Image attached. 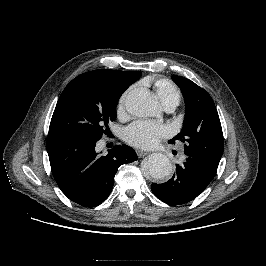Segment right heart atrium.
<instances>
[{
	"label": "right heart atrium",
	"mask_w": 266,
	"mask_h": 266,
	"mask_svg": "<svg viewBox=\"0 0 266 266\" xmlns=\"http://www.w3.org/2000/svg\"><path fill=\"white\" fill-rule=\"evenodd\" d=\"M127 97H128V91L124 92L119 98L118 104H117L118 115H122L124 113Z\"/></svg>",
	"instance_id": "1"
}]
</instances>
